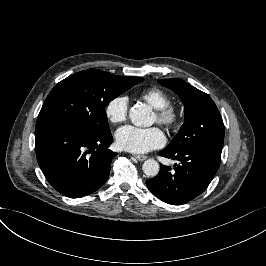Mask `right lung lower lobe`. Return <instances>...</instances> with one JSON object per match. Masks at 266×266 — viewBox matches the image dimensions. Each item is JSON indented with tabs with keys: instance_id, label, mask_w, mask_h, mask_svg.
Returning a JSON list of instances; mask_svg holds the SVG:
<instances>
[{
	"instance_id": "98d812e1",
	"label": "right lung lower lobe",
	"mask_w": 266,
	"mask_h": 266,
	"mask_svg": "<svg viewBox=\"0 0 266 266\" xmlns=\"http://www.w3.org/2000/svg\"><path fill=\"white\" fill-rule=\"evenodd\" d=\"M38 164L48 182L61 194L80 198L93 193L108 179L112 159L111 132L91 135L56 125L35 135Z\"/></svg>"
}]
</instances>
